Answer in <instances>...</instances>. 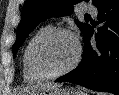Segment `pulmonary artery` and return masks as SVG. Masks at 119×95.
<instances>
[{
    "label": "pulmonary artery",
    "instance_id": "1",
    "mask_svg": "<svg viewBox=\"0 0 119 95\" xmlns=\"http://www.w3.org/2000/svg\"><path fill=\"white\" fill-rule=\"evenodd\" d=\"M86 9H87L89 12L93 13V14L96 13V9H95L94 7L87 6Z\"/></svg>",
    "mask_w": 119,
    "mask_h": 95
}]
</instances>
